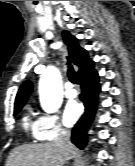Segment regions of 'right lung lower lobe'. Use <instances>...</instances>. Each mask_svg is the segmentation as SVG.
<instances>
[{
  "label": "right lung lower lobe",
  "mask_w": 135,
  "mask_h": 166,
  "mask_svg": "<svg viewBox=\"0 0 135 166\" xmlns=\"http://www.w3.org/2000/svg\"><path fill=\"white\" fill-rule=\"evenodd\" d=\"M78 77L82 89L79 98L84 104L85 112L72 129L71 140L77 147L82 149L87 144V131L94 118L97 97L100 92L99 76L94 69V62L92 61L81 69L78 72Z\"/></svg>",
  "instance_id": "right-lung-lower-lobe-1"
}]
</instances>
